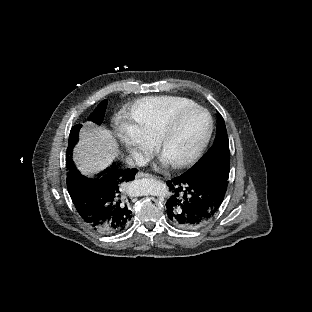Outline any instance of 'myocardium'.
<instances>
[{
	"label": "myocardium",
	"mask_w": 312,
	"mask_h": 312,
	"mask_svg": "<svg viewBox=\"0 0 312 312\" xmlns=\"http://www.w3.org/2000/svg\"><path fill=\"white\" fill-rule=\"evenodd\" d=\"M190 116H197L203 125V132L199 140L200 146H198L191 155L187 158H178L173 161L172 166L174 169H186L197 164L207 152L206 147L210 144V139L212 137V132L214 130L213 122L211 120L210 114L206 109L200 105H191L185 108H181L177 113L173 114L165 123V130L158 136L156 141V148L163 151L167 147L168 139L173 136L175 128L182 119Z\"/></svg>",
	"instance_id": "myocardium-1"
}]
</instances>
